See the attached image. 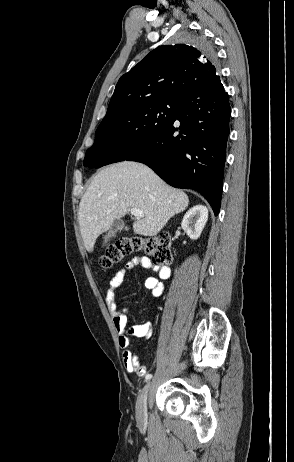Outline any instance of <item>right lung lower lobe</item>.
<instances>
[{"instance_id": "right-lung-lower-lobe-1", "label": "right lung lower lobe", "mask_w": 294, "mask_h": 462, "mask_svg": "<svg viewBox=\"0 0 294 462\" xmlns=\"http://www.w3.org/2000/svg\"><path fill=\"white\" fill-rule=\"evenodd\" d=\"M230 115L228 93L217 78L185 94L174 118L125 160L148 165L171 186L197 190L218 215ZM104 160L94 153L84 166L99 168Z\"/></svg>"}]
</instances>
